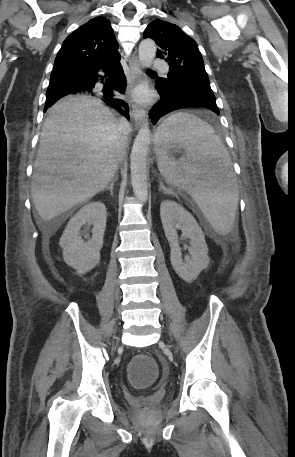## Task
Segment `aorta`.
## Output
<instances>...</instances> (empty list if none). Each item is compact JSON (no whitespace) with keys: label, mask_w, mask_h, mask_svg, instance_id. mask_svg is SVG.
Listing matches in <instances>:
<instances>
[{"label":"aorta","mask_w":295,"mask_h":457,"mask_svg":"<svg viewBox=\"0 0 295 457\" xmlns=\"http://www.w3.org/2000/svg\"><path fill=\"white\" fill-rule=\"evenodd\" d=\"M139 62L142 67L148 68L156 56L155 42L151 39L142 40L139 49ZM151 139L149 126H143L133 143L130 155L131 183L135 197L146 202L148 197L147 183V154Z\"/></svg>","instance_id":"762f6f07"}]
</instances>
